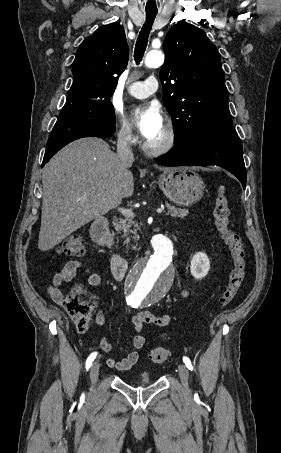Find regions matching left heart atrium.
<instances>
[{
  "label": "left heart atrium",
  "mask_w": 281,
  "mask_h": 453,
  "mask_svg": "<svg viewBox=\"0 0 281 453\" xmlns=\"http://www.w3.org/2000/svg\"><path fill=\"white\" fill-rule=\"evenodd\" d=\"M137 127L147 139L164 125L163 113L157 103H148L134 112Z\"/></svg>",
  "instance_id": "obj_1"
}]
</instances>
